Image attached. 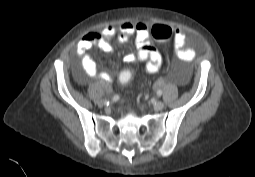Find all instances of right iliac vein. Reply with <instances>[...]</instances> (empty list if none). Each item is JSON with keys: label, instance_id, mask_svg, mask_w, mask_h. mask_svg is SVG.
Wrapping results in <instances>:
<instances>
[{"label": "right iliac vein", "instance_id": "63e3f726", "mask_svg": "<svg viewBox=\"0 0 255 177\" xmlns=\"http://www.w3.org/2000/svg\"><path fill=\"white\" fill-rule=\"evenodd\" d=\"M98 105L101 106V107H103V106L106 105V101H105V100H100V101L98 102Z\"/></svg>", "mask_w": 255, "mask_h": 177}]
</instances>
